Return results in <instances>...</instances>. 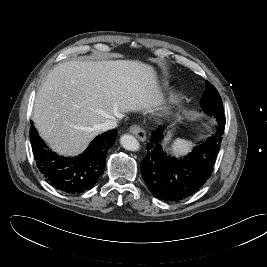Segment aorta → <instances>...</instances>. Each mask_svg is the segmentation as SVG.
<instances>
[{
    "instance_id": "obj_1",
    "label": "aorta",
    "mask_w": 267,
    "mask_h": 267,
    "mask_svg": "<svg viewBox=\"0 0 267 267\" xmlns=\"http://www.w3.org/2000/svg\"><path fill=\"white\" fill-rule=\"evenodd\" d=\"M120 144L128 151H138L140 149L139 141L130 134H124L120 138Z\"/></svg>"
}]
</instances>
